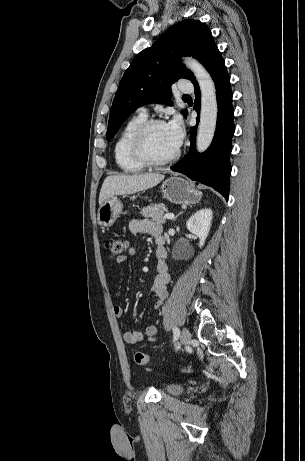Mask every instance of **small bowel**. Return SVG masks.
I'll list each match as a JSON object with an SVG mask.
<instances>
[{
	"mask_svg": "<svg viewBox=\"0 0 305 461\" xmlns=\"http://www.w3.org/2000/svg\"><path fill=\"white\" fill-rule=\"evenodd\" d=\"M129 228L133 233H146L155 237L162 236V227L159 223H156L149 219H134L130 222ZM137 248L130 246L127 249V253L116 258L117 264H124L128 257L135 256ZM155 255L157 258V275L153 281L151 287V293L156 298V301L152 304V308L157 310L161 308L164 300L167 297V287L170 282V276L168 273V266L166 263V250L164 247L160 248L157 246ZM114 315L120 317L123 314V308L120 305L113 306ZM158 327L155 324L148 326L144 333L126 331L123 334V339L127 344L135 345L138 344L144 336L148 337L150 341L156 339Z\"/></svg>",
	"mask_w": 305,
	"mask_h": 461,
	"instance_id": "obj_1",
	"label": "small bowel"
}]
</instances>
